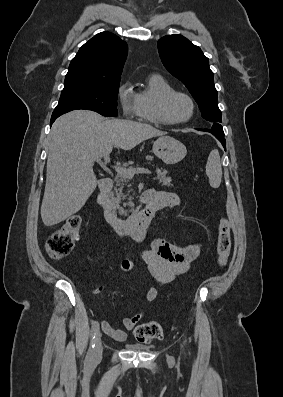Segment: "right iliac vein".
Masks as SVG:
<instances>
[{"label":"right iliac vein","mask_w":283,"mask_h":397,"mask_svg":"<svg viewBox=\"0 0 283 397\" xmlns=\"http://www.w3.org/2000/svg\"><path fill=\"white\" fill-rule=\"evenodd\" d=\"M102 353H103V345H102V340H101V333H100V331H98L96 334V338H95L93 359L99 360L102 357Z\"/></svg>","instance_id":"1"}]
</instances>
